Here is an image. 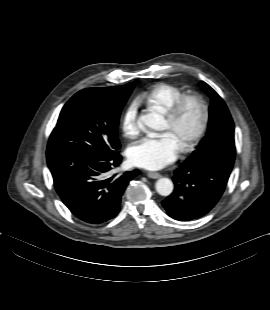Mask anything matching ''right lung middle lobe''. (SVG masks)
I'll return each instance as SVG.
<instances>
[{"label": "right lung middle lobe", "mask_w": 270, "mask_h": 310, "mask_svg": "<svg viewBox=\"0 0 270 310\" xmlns=\"http://www.w3.org/2000/svg\"><path fill=\"white\" fill-rule=\"evenodd\" d=\"M133 87L131 82L126 94L108 88H87L76 93L63 107L48 149L73 148L97 154L118 151L119 116Z\"/></svg>", "instance_id": "1"}]
</instances>
